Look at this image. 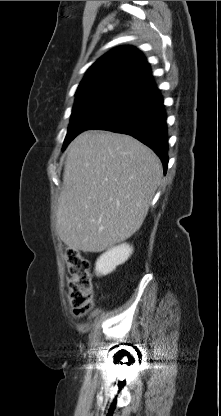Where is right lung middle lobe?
Here are the masks:
<instances>
[{
	"mask_svg": "<svg viewBox=\"0 0 221 416\" xmlns=\"http://www.w3.org/2000/svg\"><path fill=\"white\" fill-rule=\"evenodd\" d=\"M125 97L122 94L99 93L76 98L63 150L79 133L99 124Z\"/></svg>",
	"mask_w": 221,
	"mask_h": 416,
	"instance_id": "obj_1",
	"label": "right lung middle lobe"
}]
</instances>
